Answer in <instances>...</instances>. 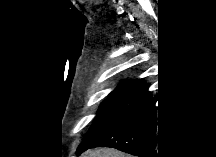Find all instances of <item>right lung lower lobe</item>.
Here are the masks:
<instances>
[{"label":"right lung lower lobe","instance_id":"obj_1","mask_svg":"<svg viewBox=\"0 0 216 157\" xmlns=\"http://www.w3.org/2000/svg\"><path fill=\"white\" fill-rule=\"evenodd\" d=\"M148 87L138 91L119 123L93 145L111 147L139 157H160L161 123Z\"/></svg>","mask_w":216,"mask_h":157}]
</instances>
